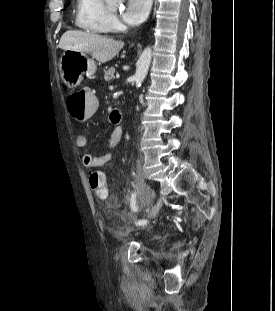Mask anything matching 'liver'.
Listing matches in <instances>:
<instances>
[{"label":"liver","mask_w":275,"mask_h":311,"mask_svg":"<svg viewBox=\"0 0 275 311\" xmlns=\"http://www.w3.org/2000/svg\"><path fill=\"white\" fill-rule=\"evenodd\" d=\"M123 46L122 41L84 31H66L59 42V48L91 54L99 63L112 60Z\"/></svg>","instance_id":"1"}]
</instances>
